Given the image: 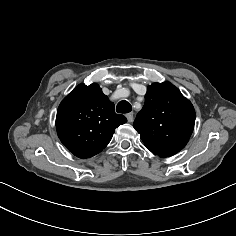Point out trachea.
I'll list each match as a JSON object with an SVG mask.
<instances>
[{
    "label": "trachea",
    "mask_w": 236,
    "mask_h": 236,
    "mask_svg": "<svg viewBox=\"0 0 236 236\" xmlns=\"http://www.w3.org/2000/svg\"><path fill=\"white\" fill-rule=\"evenodd\" d=\"M132 110V106L129 102L122 100L117 104L116 111L118 113H129Z\"/></svg>",
    "instance_id": "obj_1"
}]
</instances>
